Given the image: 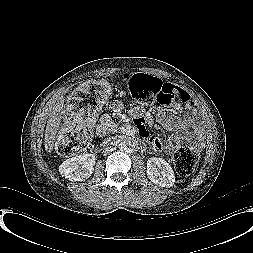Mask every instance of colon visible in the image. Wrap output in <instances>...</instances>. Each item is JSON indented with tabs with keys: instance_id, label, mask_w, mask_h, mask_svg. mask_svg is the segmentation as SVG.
<instances>
[{
	"instance_id": "5ec220e1",
	"label": "colon",
	"mask_w": 253,
	"mask_h": 253,
	"mask_svg": "<svg viewBox=\"0 0 253 253\" xmlns=\"http://www.w3.org/2000/svg\"><path fill=\"white\" fill-rule=\"evenodd\" d=\"M125 83L131 97L141 104L170 105L180 99L171 83L149 74L129 73ZM111 94L110 84L102 80L85 82L73 92L67 103L65 123L59 132L57 148L61 154L74 155L87 147L90 123ZM173 161L177 173L188 176L197 164L198 154L184 145L175 151Z\"/></svg>"
}]
</instances>
